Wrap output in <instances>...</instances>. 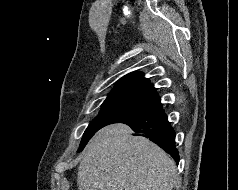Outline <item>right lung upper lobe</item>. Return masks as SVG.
<instances>
[{
  "mask_svg": "<svg viewBox=\"0 0 238 190\" xmlns=\"http://www.w3.org/2000/svg\"><path fill=\"white\" fill-rule=\"evenodd\" d=\"M131 97L157 105L161 99L153 84L140 72H132L122 77L107 98Z\"/></svg>",
  "mask_w": 238,
  "mask_h": 190,
  "instance_id": "obj_1",
  "label": "right lung upper lobe"
}]
</instances>
